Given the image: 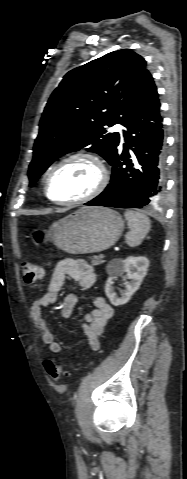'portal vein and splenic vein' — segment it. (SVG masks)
<instances>
[{"mask_svg":"<svg viewBox=\"0 0 187 479\" xmlns=\"http://www.w3.org/2000/svg\"><path fill=\"white\" fill-rule=\"evenodd\" d=\"M100 257H101V258H104V255H103V254H100Z\"/></svg>","mask_w":187,"mask_h":479,"instance_id":"18ae733b","label":"portal vein and splenic vein"}]
</instances>
